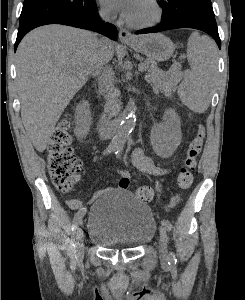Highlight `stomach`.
<instances>
[{
    "mask_svg": "<svg viewBox=\"0 0 245 300\" xmlns=\"http://www.w3.org/2000/svg\"><path fill=\"white\" fill-rule=\"evenodd\" d=\"M127 45L135 51L146 55L150 60L158 62L168 60L175 50L173 42L160 33L140 36L136 42L127 43Z\"/></svg>",
    "mask_w": 245,
    "mask_h": 300,
    "instance_id": "0dacf381",
    "label": "stomach"
}]
</instances>
